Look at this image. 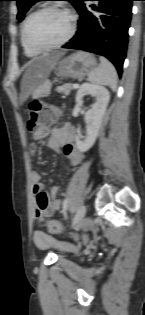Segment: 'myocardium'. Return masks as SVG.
I'll return each instance as SVG.
<instances>
[{
  "label": "myocardium",
  "mask_w": 145,
  "mask_h": 315,
  "mask_svg": "<svg viewBox=\"0 0 145 315\" xmlns=\"http://www.w3.org/2000/svg\"><path fill=\"white\" fill-rule=\"evenodd\" d=\"M46 11H55L58 12L62 15H64L67 19H68V23H69V27H68V31L66 33V35L59 41L49 44V45H38L35 43H32L27 35V30H28V26L29 23L31 22V20L37 16L40 13L46 12ZM75 29H76V17L75 15L69 11L68 9L65 8H61L58 7L56 5H46L44 7H41L39 9H37L36 11L32 12L25 20L23 27H22V36H23V40L25 42V44L31 48L34 49L36 51H49L58 47L63 46L64 44H66L74 35L75 33Z\"/></svg>",
  "instance_id": "f54148a6"
}]
</instances>
